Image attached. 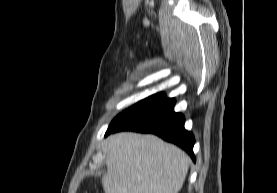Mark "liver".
Listing matches in <instances>:
<instances>
[{"mask_svg": "<svg viewBox=\"0 0 277 193\" xmlns=\"http://www.w3.org/2000/svg\"><path fill=\"white\" fill-rule=\"evenodd\" d=\"M105 152V193H178L190 164L183 150L148 134H113Z\"/></svg>", "mask_w": 277, "mask_h": 193, "instance_id": "obj_1", "label": "liver"}]
</instances>
